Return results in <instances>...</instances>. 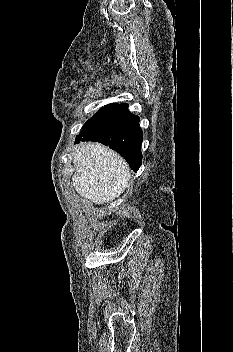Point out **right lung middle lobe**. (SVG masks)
<instances>
[{
	"mask_svg": "<svg viewBox=\"0 0 233 352\" xmlns=\"http://www.w3.org/2000/svg\"><path fill=\"white\" fill-rule=\"evenodd\" d=\"M118 105L117 103H113L110 105H107L103 108H101L93 117H91L85 124L83 127H85L86 125H88L89 123H91L92 121H94L96 118H98L100 115H102L103 113H105L106 111L110 110L111 108H113L114 106ZM82 127V128H83Z\"/></svg>",
	"mask_w": 233,
	"mask_h": 352,
	"instance_id": "obj_1",
	"label": "right lung middle lobe"
}]
</instances>
